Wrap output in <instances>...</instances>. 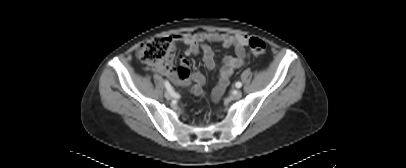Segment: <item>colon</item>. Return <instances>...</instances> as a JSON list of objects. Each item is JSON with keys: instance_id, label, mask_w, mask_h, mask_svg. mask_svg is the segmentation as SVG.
Here are the masks:
<instances>
[{"instance_id": "5ec220e1", "label": "colon", "mask_w": 406, "mask_h": 168, "mask_svg": "<svg viewBox=\"0 0 406 168\" xmlns=\"http://www.w3.org/2000/svg\"><path fill=\"white\" fill-rule=\"evenodd\" d=\"M250 52L255 56H261L266 52L265 42L258 37H251L248 40ZM172 51V39L169 37H156L143 43L138 51V57L145 63L157 65L162 63ZM182 69L179 68L178 72Z\"/></svg>"}]
</instances>
